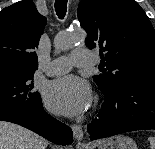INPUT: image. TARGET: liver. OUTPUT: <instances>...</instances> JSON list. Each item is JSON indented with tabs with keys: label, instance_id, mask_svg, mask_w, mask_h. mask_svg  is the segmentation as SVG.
Wrapping results in <instances>:
<instances>
[{
	"label": "liver",
	"instance_id": "1",
	"mask_svg": "<svg viewBox=\"0 0 155 149\" xmlns=\"http://www.w3.org/2000/svg\"><path fill=\"white\" fill-rule=\"evenodd\" d=\"M48 142L19 125L0 121V149H46Z\"/></svg>",
	"mask_w": 155,
	"mask_h": 149
}]
</instances>
